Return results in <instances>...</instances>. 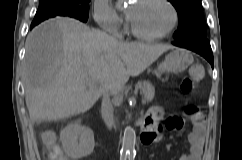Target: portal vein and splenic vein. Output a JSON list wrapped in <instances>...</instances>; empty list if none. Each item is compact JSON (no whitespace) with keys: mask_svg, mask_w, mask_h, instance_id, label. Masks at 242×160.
Here are the masks:
<instances>
[{"mask_svg":"<svg viewBox=\"0 0 242 160\" xmlns=\"http://www.w3.org/2000/svg\"><path fill=\"white\" fill-rule=\"evenodd\" d=\"M87 83H88V85H90V86H94V85H95V82H93V81L90 80V79H87ZM145 103H146L145 100L142 99V104H145Z\"/></svg>","mask_w":242,"mask_h":160,"instance_id":"1","label":"portal vein and splenic vein"}]
</instances>
